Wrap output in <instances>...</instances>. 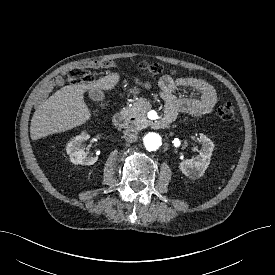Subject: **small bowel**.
<instances>
[{
	"instance_id": "c3829d8e",
	"label": "small bowel",
	"mask_w": 275,
	"mask_h": 275,
	"mask_svg": "<svg viewBox=\"0 0 275 275\" xmlns=\"http://www.w3.org/2000/svg\"><path fill=\"white\" fill-rule=\"evenodd\" d=\"M137 84L148 88L149 83L135 80ZM57 85H62L61 78L56 79ZM162 99L166 103V117L174 119L177 113L182 112L192 116H204L209 114L218 103V95L212 85L205 79L196 77H182L174 79L170 76H163L158 82ZM179 87H188L196 92L192 98H183L176 95Z\"/></svg>"
}]
</instances>
